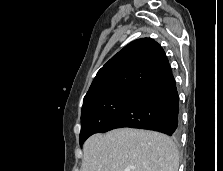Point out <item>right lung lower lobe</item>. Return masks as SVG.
<instances>
[{
  "label": "right lung lower lobe",
  "instance_id": "right-lung-lower-lobe-1",
  "mask_svg": "<svg viewBox=\"0 0 223 171\" xmlns=\"http://www.w3.org/2000/svg\"><path fill=\"white\" fill-rule=\"evenodd\" d=\"M123 127L179 134V97L172 72L141 91L98 133Z\"/></svg>",
  "mask_w": 223,
  "mask_h": 171
}]
</instances>
